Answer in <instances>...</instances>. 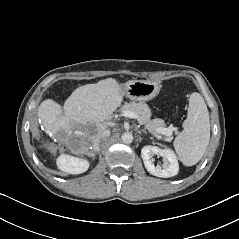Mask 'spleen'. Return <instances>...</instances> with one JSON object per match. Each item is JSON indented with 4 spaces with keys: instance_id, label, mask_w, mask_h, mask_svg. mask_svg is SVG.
Segmentation results:
<instances>
[{
    "instance_id": "3e777b00",
    "label": "spleen",
    "mask_w": 239,
    "mask_h": 239,
    "mask_svg": "<svg viewBox=\"0 0 239 239\" xmlns=\"http://www.w3.org/2000/svg\"><path fill=\"white\" fill-rule=\"evenodd\" d=\"M209 139V112L201 94L194 92L190 96L183 131L174 141V148L181 162L186 166L198 163L206 151Z\"/></svg>"
}]
</instances>
